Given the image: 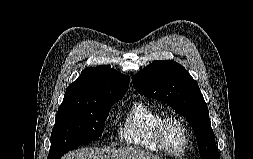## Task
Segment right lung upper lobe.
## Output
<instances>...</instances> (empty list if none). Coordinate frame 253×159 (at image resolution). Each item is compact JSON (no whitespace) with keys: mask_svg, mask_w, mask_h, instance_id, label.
Here are the masks:
<instances>
[{"mask_svg":"<svg viewBox=\"0 0 253 159\" xmlns=\"http://www.w3.org/2000/svg\"><path fill=\"white\" fill-rule=\"evenodd\" d=\"M128 86L129 76L109 66L85 68L80 77L67 87L63 100L122 98Z\"/></svg>","mask_w":253,"mask_h":159,"instance_id":"obj_1","label":"right lung upper lobe"}]
</instances>
